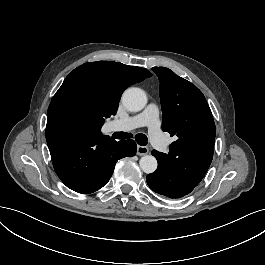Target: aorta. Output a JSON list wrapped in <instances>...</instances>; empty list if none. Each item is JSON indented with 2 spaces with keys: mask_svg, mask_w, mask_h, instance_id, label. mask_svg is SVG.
<instances>
[{
  "mask_svg": "<svg viewBox=\"0 0 265 265\" xmlns=\"http://www.w3.org/2000/svg\"><path fill=\"white\" fill-rule=\"evenodd\" d=\"M148 103L146 92L138 87L128 88L122 95V104L131 112L143 110ZM143 172L150 174L157 169V160L152 155H144L139 161Z\"/></svg>",
  "mask_w": 265,
  "mask_h": 265,
  "instance_id": "obj_1",
  "label": "aorta"
}]
</instances>
